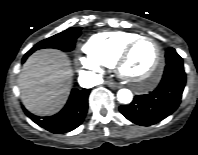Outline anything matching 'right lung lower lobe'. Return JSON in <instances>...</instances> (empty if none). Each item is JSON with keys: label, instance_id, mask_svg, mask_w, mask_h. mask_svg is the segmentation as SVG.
Listing matches in <instances>:
<instances>
[{"label": "right lung lower lobe", "instance_id": "right-lung-lower-lobe-1", "mask_svg": "<svg viewBox=\"0 0 198 155\" xmlns=\"http://www.w3.org/2000/svg\"><path fill=\"white\" fill-rule=\"evenodd\" d=\"M29 55L25 54L22 62ZM90 89H72L65 107L56 115L46 118L35 116L24 109L25 114L40 127L52 133H66L77 128L84 120L88 109Z\"/></svg>", "mask_w": 198, "mask_h": 155}]
</instances>
